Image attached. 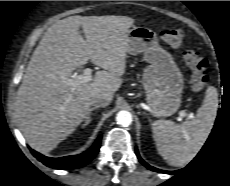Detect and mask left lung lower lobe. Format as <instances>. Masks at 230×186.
Returning a JSON list of instances; mask_svg holds the SVG:
<instances>
[{"label": "left lung lower lobe", "mask_w": 230, "mask_h": 186, "mask_svg": "<svg viewBox=\"0 0 230 186\" xmlns=\"http://www.w3.org/2000/svg\"><path fill=\"white\" fill-rule=\"evenodd\" d=\"M135 152H136V155H137L139 161H140L145 167H147L148 169H150V170H152V171H156V172H160V173H166V174H174L175 172H177V171H172V172H171V171H164V170H160V169L154 168V167L148 165L146 162H144V160L139 156V153H138V150H137V149H135Z\"/></svg>", "instance_id": "left-lung-lower-lobe-1"}]
</instances>
